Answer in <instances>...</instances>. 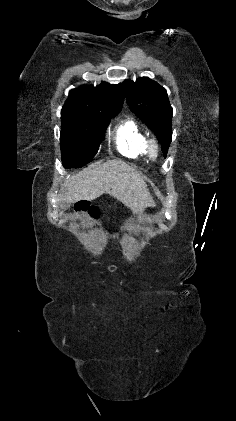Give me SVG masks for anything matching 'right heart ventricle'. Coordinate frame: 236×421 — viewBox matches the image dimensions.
I'll return each instance as SVG.
<instances>
[{
  "mask_svg": "<svg viewBox=\"0 0 236 421\" xmlns=\"http://www.w3.org/2000/svg\"><path fill=\"white\" fill-rule=\"evenodd\" d=\"M114 142L117 150L126 157L132 159L146 157L147 136L132 117L124 119L116 126Z\"/></svg>",
  "mask_w": 236,
  "mask_h": 421,
  "instance_id": "obj_1",
  "label": "right heart ventricle"
}]
</instances>
